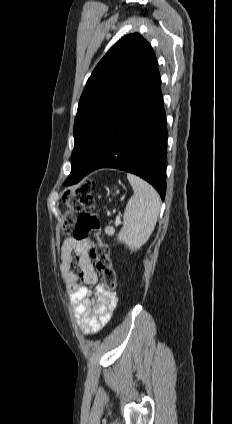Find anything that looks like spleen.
Masks as SVG:
<instances>
[{
  "mask_svg": "<svg viewBox=\"0 0 232 424\" xmlns=\"http://www.w3.org/2000/svg\"><path fill=\"white\" fill-rule=\"evenodd\" d=\"M134 195L129 199L123 217V227L117 235L119 242L131 250L144 245L151 236L160 211V196L146 181L127 174Z\"/></svg>",
  "mask_w": 232,
  "mask_h": 424,
  "instance_id": "spleen-1",
  "label": "spleen"
}]
</instances>
